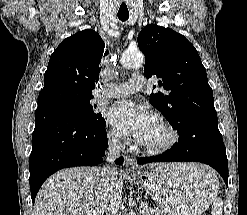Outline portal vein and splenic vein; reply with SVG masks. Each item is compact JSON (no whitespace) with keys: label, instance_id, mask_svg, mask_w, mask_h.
<instances>
[{"label":"portal vein and splenic vein","instance_id":"portal-vein-and-splenic-vein-1","mask_svg":"<svg viewBox=\"0 0 247 215\" xmlns=\"http://www.w3.org/2000/svg\"><path fill=\"white\" fill-rule=\"evenodd\" d=\"M143 208H145L146 206L144 204L141 205Z\"/></svg>","mask_w":247,"mask_h":215}]
</instances>
